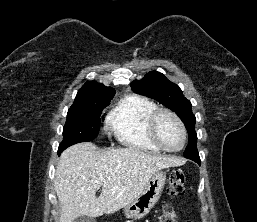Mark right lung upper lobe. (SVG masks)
<instances>
[{"label":"right lung upper lobe","mask_w":257,"mask_h":222,"mask_svg":"<svg viewBox=\"0 0 257 222\" xmlns=\"http://www.w3.org/2000/svg\"><path fill=\"white\" fill-rule=\"evenodd\" d=\"M115 90L103 84L87 81L78 91L74 103L92 100H111Z\"/></svg>","instance_id":"right-lung-upper-lobe-1"}]
</instances>
